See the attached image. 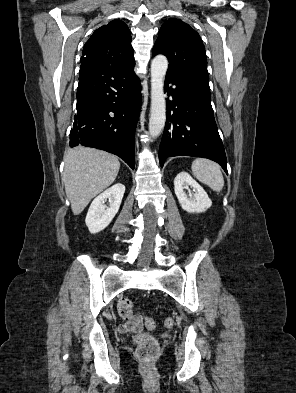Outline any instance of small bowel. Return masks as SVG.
<instances>
[{
  "mask_svg": "<svg viewBox=\"0 0 296 393\" xmlns=\"http://www.w3.org/2000/svg\"><path fill=\"white\" fill-rule=\"evenodd\" d=\"M143 328V324L141 318L137 315H132L129 317L126 322L119 325L118 329L121 332H139Z\"/></svg>",
  "mask_w": 296,
  "mask_h": 393,
  "instance_id": "obj_1",
  "label": "small bowel"
}]
</instances>
